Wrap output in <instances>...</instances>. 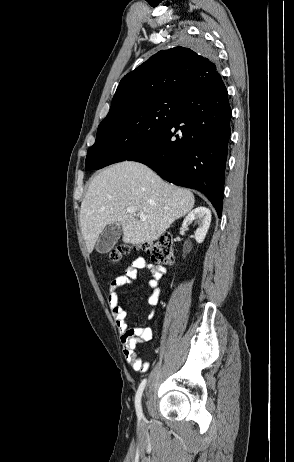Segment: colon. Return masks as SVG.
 I'll list each match as a JSON object with an SVG mask.
<instances>
[{
  "label": "colon",
  "instance_id": "1",
  "mask_svg": "<svg viewBox=\"0 0 294 462\" xmlns=\"http://www.w3.org/2000/svg\"><path fill=\"white\" fill-rule=\"evenodd\" d=\"M142 249L155 264L171 265L174 261V244L169 234L161 235L155 241L143 244ZM129 250L130 247L127 245L119 246L109 253V259L111 261H117L122 254L129 252Z\"/></svg>",
  "mask_w": 294,
  "mask_h": 462
}]
</instances>
